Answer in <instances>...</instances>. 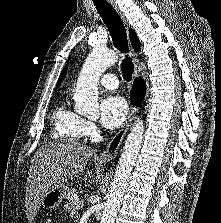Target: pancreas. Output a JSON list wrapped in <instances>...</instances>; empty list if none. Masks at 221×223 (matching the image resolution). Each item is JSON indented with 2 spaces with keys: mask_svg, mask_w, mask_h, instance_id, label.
<instances>
[{
  "mask_svg": "<svg viewBox=\"0 0 221 223\" xmlns=\"http://www.w3.org/2000/svg\"><path fill=\"white\" fill-rule=\"evenodd\" d=\"M75 194L74 191L68 192L67 196V202L63 205V208L65 211L75 213L78 208H80V205L78 203V200L73 198V195Z\"/></svg>",
  "mask_w": 221,
  "mask_h": 223,
  "instance_id": "obj_1",
  "label": "pancreas"
}]
</instances>
